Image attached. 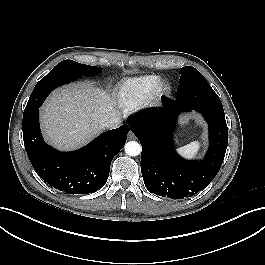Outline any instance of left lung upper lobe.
<instances>
[{
	"mask_svg": "<svg viewBox=\"0 0 265 265\" xmlns=\"http://www.w3.org/2000/svg\"><path fill=\"white\" fill-rule=\"evenodd\" d=\"M205 93H210L205 95ZM177 100L190 107H202L224 114L221 101L203 75L192 66L181 68Z\"/></svg>",
	"mask_w": 265,
	"mask_h": 265,
	"instance_id": "left-lung-upper-lobe-1",
	"label": "left lung upper lobe"
}]
</instances>
